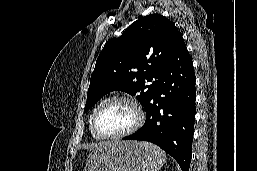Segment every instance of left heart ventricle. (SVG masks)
<instances>
[{
  "mask_svg": "<svg viewBox=\"0 0 257 171\" xmlns=\"http://www.w3.org/2000/svg\"><path fill=\"white\" fill-rule=\"evenodd\" d=\"M136 121V113L126 103H116L106 107L98 116V130L106 135H115L131 128Z\"/></svg>",
  "mask_w": 257,
  "mask_h": 171,
  "instance_id": "b2bd125f",
  "label": "left heart ventricle"
}]
</instances>
